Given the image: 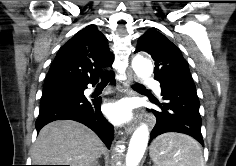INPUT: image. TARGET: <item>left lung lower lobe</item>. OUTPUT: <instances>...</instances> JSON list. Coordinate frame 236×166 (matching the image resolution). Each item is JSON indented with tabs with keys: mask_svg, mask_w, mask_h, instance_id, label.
<instances>
[{
	"mask_svg": "<svg viewBox=\"0 0 236 166\" xmlns=\"http://www.w3.org/2000/svg\"><path fill=\"white\" fill-rule=\"evenodd\" d=\"M164 102H154L161 112L151 110L156 117L150 140L166 132L185 133L204 145L201 134L200 102L192 80L172 78L160 82Z\"/></svg>",
	"mask_w": 236,
	"mask_h": 166,
	"instance_id": "left-lung-lower-lobe-1",
	"label": "left lung lower lobe"
}]
</instances>
